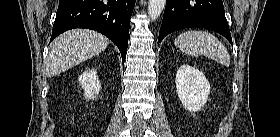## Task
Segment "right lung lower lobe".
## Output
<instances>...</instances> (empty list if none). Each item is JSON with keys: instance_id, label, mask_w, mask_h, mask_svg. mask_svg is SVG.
Here are the masks:
<instances>
[{"instance_id": "98d812e1", "label": "right lung lower lobe", "mask_w": 280, "mask_h": 137, "mask_svg": "<svg viewBox=\"0 0 280 137\" xmlns=\"http://www.w3.org/2000/svg\"><path fill=\"white\" fill-rule=\"evenodd\" d=\"M136 0H59L51 40L74 28L92 29L119 48L124 63Z\"/></svg>"}]
</instances>
